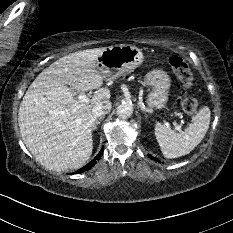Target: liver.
Segmentation results:
<instances>
[{"mask_svg":"<svg viewBox=\"0 0 233 233\" xmlns=\"http://www.w3.org/2000/svg\"><path fill=\"white\" fill-rule=\"evenodd\" d=\"M104 48L63 56L45 68L21 101L18 123L23 142L36 160L49 170L78 169L93 150V107L109 101L97 60ZM96 89L87 103L74 98L75 90Z\"/></svg>","mask_w":233,"mask_h":233,"instance_id":"6515ba94","label":"liver"}]
</instances>
